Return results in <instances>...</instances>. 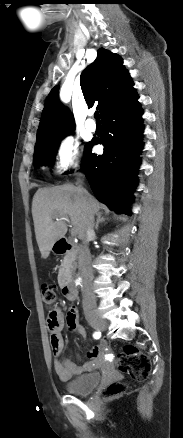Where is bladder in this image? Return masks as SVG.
I'll return each instance as SVG.
<instances>
[{"mask_svg": "<svg viewBox=\"0 0 183 438\" xmlns=\"http://www.w3.org/2000/svg\"><path fill=\"white\" fill-rule=\"evenodd\" d=\"M100 380V373L82 374L66 383L65 389L70 394L87 395L98 386Z\"/></svg>", "mask_w": 183, "mask_h": 438, "instance_id": "obj_1", "label": "bladder"}]
</instances>
